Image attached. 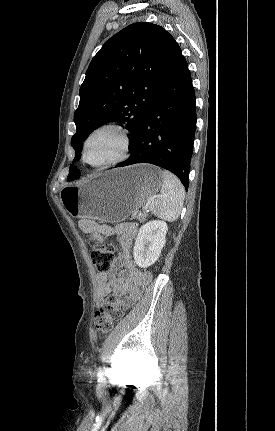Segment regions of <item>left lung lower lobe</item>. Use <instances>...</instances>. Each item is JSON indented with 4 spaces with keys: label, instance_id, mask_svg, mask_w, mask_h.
<instances>
[{
    "label": "left lung lower lobe",
    "instance_id": "1",
    "mask_svg": "<svg viewBox=\"0 0 275 431\" xmlns=\"http://www.w3.org/2000/svg\"><path fill=\"white\" fill-rule=\"evenodd\" d=\"M195 100L188 64L180 53L131 145L132 154L116 167L151 163L173 172L187 190L197 121Z\"/></svg>",
    "mask_w": 275,
    "mask_h": 431
}]
</instances>
